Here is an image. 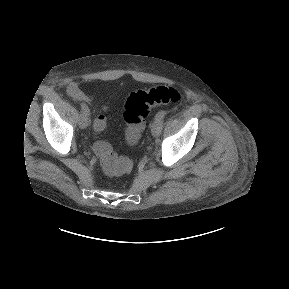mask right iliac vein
I'll return each instance as SVG.
<instances>
[{"label": "right iliac vein", "mask_w": 289, "mask_h": 289, "mask_svg": "<svg viewBox=\"0 0 289 289\" xmlns=\"http://www.w3.org/2000/svg\"><path fill=\"white\" fill-rule=\"evenodd\" d=\"M90 124V119L88 117V115L81 113L79 116V126L84 129L86 127H88V125Z\"/></svg>", "instance_id": "1"}]
</instances>
